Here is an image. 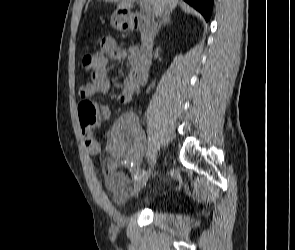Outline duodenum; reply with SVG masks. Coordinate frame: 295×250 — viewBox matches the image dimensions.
<instances>
[{
  "mask_svg": "<svg viewBox=\"0 0 295 250\" xmlns=\"http://www.w3.org/2000/svg\"><path fill=\"white\" fill-rule=\"evenodd\" d=\"M121 19L129 24L130 29L143 34L142 52L135 60L133 72L137 79L143 83L148 76V58L152 53L157 28L155 23L145 14L122 9Z\"/></svg>",
  "mask_w": 295,
  "mask_h": 250,
  "instance_id": "obj_1",
  "label": "duodenum"
}]
</instances>
